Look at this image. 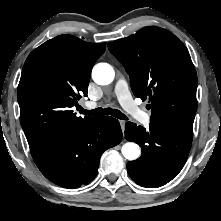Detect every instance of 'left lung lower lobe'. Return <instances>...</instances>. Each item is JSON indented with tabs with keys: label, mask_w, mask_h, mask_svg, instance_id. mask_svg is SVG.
<instances>
[{
	"label": "left lung lower lobe",
	"mask_w": 221,
	"mask_h": 221,
	"mask_svg": "<svg viewBox=\"0 0 221 221\" xmlns=\"http://www.w3.org/2000/svg\"><path fill=\"white\" fill-rule=\"evenodd\" d=\"M125 137L142 148L141 157L127 163V171L134 182L148 188L163 186L181 171L192 143V137L167 131L152 123L146 130L127 122Z\"/></svg>",
	"instance_id": "obj_1"
}]
</instances>
